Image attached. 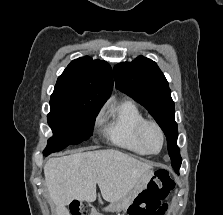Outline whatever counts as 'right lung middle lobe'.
Returning a JSON list of instances; mask_svg holds the SVG:
<instances>
[{
  "label": "right lung middle lobe",
  "instance_id": "right-lung-middle-lobe-1",
  "mask_svg": "<svg viewBox=\"0 0 223 215\" xmlns=\"http://www.w3.org/2000/svg\"><path fill=\"white\" fill-rule=\"evenodd\" d=\"M47 116L53 136L43 154L47 156L92 136L95 117L101 107L94 105H52Z\"/></svg>",
  "mask_w": 223,
  "mask_h": 215
}]
</instances>
